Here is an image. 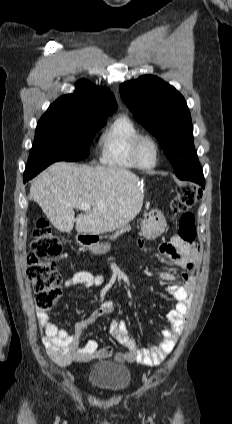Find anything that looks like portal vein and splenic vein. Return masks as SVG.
<instances>
[{"label": "portal vein and splenic vein", "mask_w": 232, "mask_h": 424, "mask_svg": "<svg viewBox=\"0 0 232 424\" xmlns=\"http://www.w3.org/2000/svg\"><path fill=\"white\" fill-rule=\"evenodd\" d=\"M77 208H79L83 211H88V210L91 209V206L88 203H81V204L77 205Z\"/></svg>", "instance_id": "portal-vein-and-splenic-vein-1"}]
</instances>
